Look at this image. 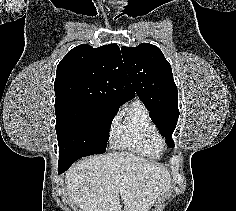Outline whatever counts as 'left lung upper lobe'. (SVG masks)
Wrapping results in <instances>:
<instances>
[{
  "label": "left lung upper lobe",
  "mask_w": 236,
  "mask_h": 211,
  "mask_svg": "<svg viewBox=\"0 0 236 211\" xmlns=\"http://www.w3.org/2000/svg\"><path fill=\"white\" fill-rule=\"evenodd\" d=\"M121 52L134 93L149 110L150 118L168 146L173 148L171 135L178 121L179 110L177 87L169 62L157 46L147 43L135 48L122 46Z\"/></svg>",
  "instance_id": "obj_1"
}]
</instances>
